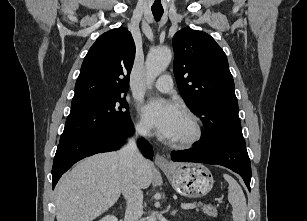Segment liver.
I'll use <instances>...</instances> for the list:
<instances>
[{"label":"liver","instance_id":"1","mask_svg":"<svg viewBox=\"0 0 307 221\" xmlns=\"http://www.w3.org/2000/svg\"><path fill=\"white\" fill-rule=\"evenodd\" d=\"M137 171L141 188L150 186L154 165L145 160ZM121 152L88 157L64 175L55 189L57 221H93L118 200L124 179Z\"/></svg>","mask_w":307,"mask_h":221}]
</instances>
